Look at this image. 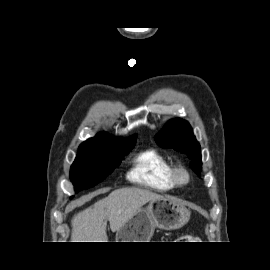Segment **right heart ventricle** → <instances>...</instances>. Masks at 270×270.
<instances>
[{"label":"right heart ventricle","instance_id":"obj_1","mask_svg":"<svg viewBox=\"0 0 270 270\" xmlns=\"http://www.w3.org/2000/svg\"><path fill=\"white\" fill-rule=\"evenodd\" d=\"M173 165L156 149H147L135 156L128 179L145 188L166 192L176 187L172 179Z\"/></svg>","mask_w":270,"mask_h":270}]
</instances>
